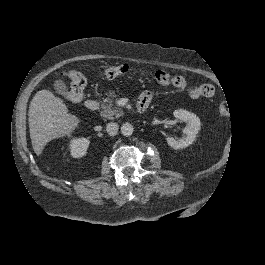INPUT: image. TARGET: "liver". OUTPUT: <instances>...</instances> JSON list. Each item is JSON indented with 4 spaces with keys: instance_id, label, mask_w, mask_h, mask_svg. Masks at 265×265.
Segmentation results:
<instances>
[{
    "instance_id": "1",
    "label": "liver",
    "mask_w": 265,
    "mask_h": 265,
    "mask_svg": "<svg viewBox=\"0 0 265 265\" xmlns=\"http://www.w3.org/2000/svg\"><path fill=\"white\" fill-rule=\"evenodd\" d=\"M32 147L39 156L45 145L62 136H70L80 120L70 113L62 99L49 90H41L33 97L28 111Z\"/></svg>"
}]
</instances>
